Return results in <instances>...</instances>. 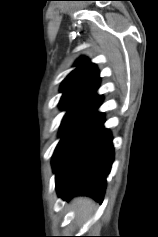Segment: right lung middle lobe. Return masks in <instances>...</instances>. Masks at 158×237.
<instances>
[{"label":"right lung middle lobe","mask_w":158,"mask_h":237,"mask_svg":"<svg viewBox=\"0 0 158 237\" xmlns=\"http://www.w3.org/2000/svg\"><path fill=\"white\" fill-rule=\"evenodd\" d=\"M59 105H60L61 109H63V110H68V112H67L65 118H66L67 116H69L71 113H73L76 109L79 108V106H77V105H75V104H70V103H65V102H60ZM65 118H64V119H65Z\"/></svg>","instance_id":"right-lung-middle-lobe-1"}]
</instances>
